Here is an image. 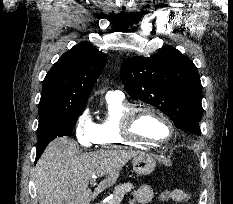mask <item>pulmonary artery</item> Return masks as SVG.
Here are the masks:
<instances>
[{
	"label": "pulmonary artery",
	"instance_id": "e3ab8cb5",
	"mask_svg": "<svg viewBox=\"0 0 233 204\" xmlns=\"http://www.w3.org/2000/svg\"><path fill=\"white\" fill-rule=\"evenodd\" d=\"M111 96H119L123 97V93L119 90H114V91H108L106 94V97H111Z\"/></svg>",
	"mask_w": 233,
	"mask_h": 204
}]
</instances>
